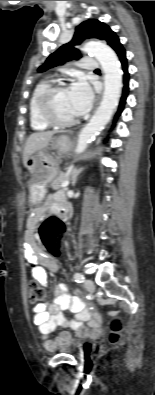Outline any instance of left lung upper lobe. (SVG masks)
<instances>
[{
    "mask_svg": "<svg viewBox=\"0 0 155 395\" xmlns=\"http://www.w3.org/2000/svg\"><path fill=\"white\" fill-rule=\"evenodd\" d=\"M88 38H96L106 41L107 44L115 50L117 55L121 52H125L118 36L110 29L109 26L96 19H89L76 27L73 39L52 53L45 63L38 68V71L43 72L51 67L62 65L65 61L80 58L81 56L79 55V51L74 48V46L79 45L82 41Z\"/></svg>",
    "mask_w": 155,
    "mask_h": 395,
    "instance_id": "5c2ea615",
    "label": "left lung upper lobe"
}]
</instances>
